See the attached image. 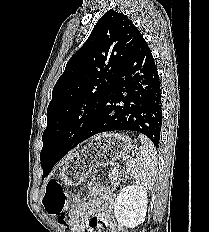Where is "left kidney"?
<instances>
[{
    "mask_svg": "<svg viewBox=\"0 0 209 232\" xmlns=\"http://www.w3.org/2000/svg\"><path fill=\"white\" fill-rule=\"evenodd\" d=\"M146 210V187L128 185L118 193L114 203V214L119 225L135 228L144 222Z\"/></svg>",
    "mask_w": 209,
    "mask_h": 232,
    "instance_id": "obj_1",
    "label": "left kidney"
}]
</instances>
